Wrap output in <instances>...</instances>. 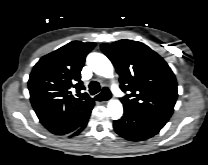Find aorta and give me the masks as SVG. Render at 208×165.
Here are the masks:
<instances>
[{
  "mask_svg": "<svg viewBox=\"0 0 208 165\" xmlns=\"http://www.w3.org/2000/svg\"><path fill=\"white\" fill-rule=\"evenodd\" d=\"M87 64L97 75L105 78H112L114 76L113 65L110 60L103 54L90 53L87 56ZM107 110L113 119H119L123 114L122 103L117 99H111L108 102Z\"/></svg>",
  "mask_w": 208,
  "mask_h": 165,
  "instance_id": "1",
  "label": "aorta"
}]
</instances>
